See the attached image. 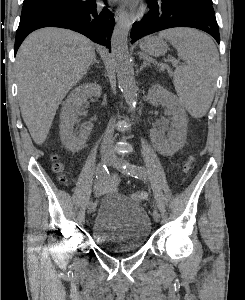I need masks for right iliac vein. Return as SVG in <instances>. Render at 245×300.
Instances as JSON below:
<instances>
[{
  "label": "right iliac vein",
  "instance_id": "right-iliac-vein-1",
  "mask_svg": "<svg viewBox=\"0 0 245 300\" xmlns=\"http://www.w3.org/2000/svg\"><path fill=\"white\" fill-rule=\"evenodd\" d=\"M101 157H102V160L104 163H109L110 158H111V153L108 150H104V151H102ZM90 202H88V204H87L88 214H91L96 208V205L92 206V205H90Z\"/></svg>",
  "mask_w": 245,
  "mask_h": 300
}]
</instances>
